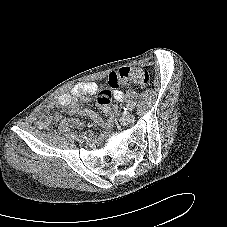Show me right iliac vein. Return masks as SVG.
Masks as SVG:
<instances>
[{
  "label": "right iliac vein",
  "instance_id": "obj_1",
  "mask_svg": "<svg viewBox=\"0 0 227 227\" xmlns=\"http://www.w3.org/2000/svg\"><path fill=\"white\" fill-rule=\"evenodd\" d=\"M76 140H77L79 143H83L84 140H85V138H84V136L79 135V136H77Z\"/></svg>",
  "mask_w": 227,
  "mask_h": 227
}]
</instances>
